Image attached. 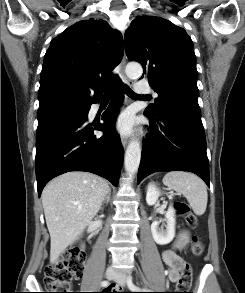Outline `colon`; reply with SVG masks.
<instances>
[{"label": "colon", "instance_id": "5ec220e1", "mask_svg": "<svg viewBox=\"0 0 245 293\" xmlns=\"http://www.w3.org/2000/svg\"><path fill=\"white\" fill-rule=\"evenodd\" d=\"M177 213L185 218L186 224L190 227L197 225V217L190 213L189 206L185 202H176L174 205ZM191 253L200 256L203 252V242L194 237L191 243ZM85 255L75 249H66L62 256L54 262L47 263L44 267V283L48 293H76L71 292V282L79 278L83 271ZM192 282V270L185 266L180 273L178 287L184 288Z\"/></svg>", "mask_w": 245, "mask_h": 293}]
</instances>
